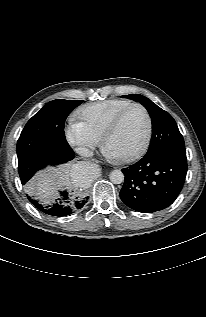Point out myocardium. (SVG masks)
Returning <instances> with one entry per match:
<instances>
[{
    "instance_id": "obj_1",
    "label": "myocardium",
    "mask_w": 206,
    "mask_h": 317,
    "mask_svg": "<svg viewBox=\"0 0 206 317\" xmlns=\"http://www.w3.org/2000/svg\"><path fill=\"white\" fill-rule=\"evenodd\" d=\"M133 108H140L143 111V113L146 117V133H145L143 142L136 150H134L133 152H131L127 155H124V156H117V158L119 160H122V161L134 160V159L138 158L139 156H141L146 151V149L150 143V140H151L152 128H153L152 118H151V115H150L148 109L141 103L130 104L129 106H127L126 108L121 110L118 114H116L113 117V119L109 122V124L107 125V127L105 128V130L101 136L102 145L105 146L106 141L109 138V136L119 127V125L122 122V120L124 119V117Z\"/></svg>"
}]
</instances>
